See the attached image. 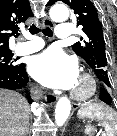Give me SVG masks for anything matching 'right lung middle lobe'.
Returning <instances> with one entry per match:
<instances>
[{
	"label": "right lung middle lobe",
	"mask_w": 117,
	"mask_h": 136,
	"mask_svg": "<svg viewBox=\"0 0 117 136\" xmlns=\"http://www.w3.org/2000/svg\"><path fill=\"white\" fill-rule=\"evenodd\" d=\"M13 53L11 51L0 52V68H15L19 64L12 60Z\"/></svg>",
	"instance_id": "1"
}]
</instances>
